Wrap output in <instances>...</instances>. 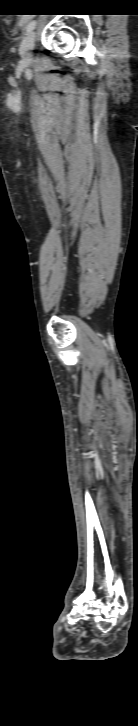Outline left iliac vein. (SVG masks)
Masks as SVG:
<instances>
[{"instance_id":"left-iliac-vein-1","label":"left iliac vein","mask_w":138,"mask_h":726,"mask_svg":"<svg viewBox=\"0 0 138 726\" xmlns=\"http://www.w3.org/2000/svg\"><path fill=\"white\" fill-rule=\"evenodd\" d=\"M34 42H35V32L31 31L28 33V35L24 38L20 45V54L25 62L32 60V51L34 48Z\"/></svg>"}]
</instances>
